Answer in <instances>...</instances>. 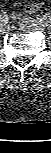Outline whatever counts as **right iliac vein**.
<instances>
[{"label":"right iliac vein","instance_id":"1","mask_svg":"<svg viewBox=\"0 0 51 153\" xmlns=\"http://www.w3.org/2000/svg\"><path fill=\"white\" fill-rule=\"evenodd\" d=\"M9 26L8 25H6V24H2L1 26H0V32L2 33V34H5V33H7L8 31H9Z\"/></svg>","mask_w":51,"mask_h":153}]
</instances>
